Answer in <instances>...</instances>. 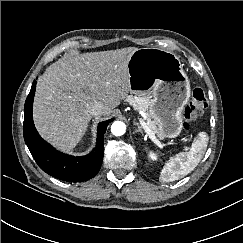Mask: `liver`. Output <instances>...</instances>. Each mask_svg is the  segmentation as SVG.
<instances>
[{
	"instance_id": "6515ba94",
	"label": "liver",
	"mask_w": 243,
	"mask_h": 243,
	"mask_svg": "<svg viewBox=\"0 0 243 243\" xmlns=\"http://www.w3.org/2000/svg\"><path fill=\"white\" fill-rule=\"evenodd\" d=\"M138 48L69 55L39 77L33 119L39 134L61 151H71L92 118L94 102L109 116L130 91L128 62Z\"/></svg>"
}]
</instances>
